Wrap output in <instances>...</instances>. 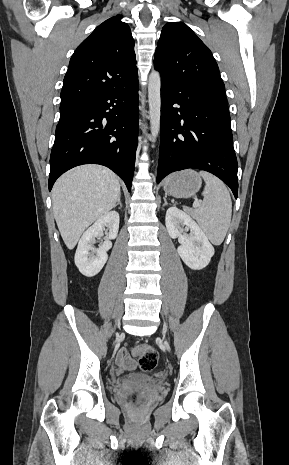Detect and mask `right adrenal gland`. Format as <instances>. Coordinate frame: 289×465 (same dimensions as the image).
Here are the masks:
<instances>
[{"label": "right adrenal gland", "mask_w": 289, "mask_h": 465, "mask_svg": "<svg viewBox=\"0 0 289 465\" xmlns=\"http://www.w3.org/2000/svg\"><path fill=\"white\" fill-rule=\"evenodd\" d=\"M119 205V208H122V202H121V194L117 200V203L115 204L114 208Z\"/></svg>", "instance_id": "1"}]
</instances>
